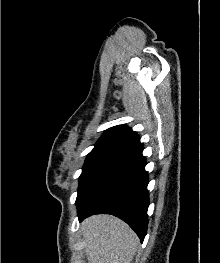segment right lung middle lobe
<instances>
[{
  "mask_svg": "<svg viewBox=\"0 0 220 263\" xmlns=\"http://www.w3.org/2000/svg\"><path fill=\"white\" fill-rule=\"evenodd\" d=\"M115 155L116 154L112 152H90L88 154L83 166L82 174L79 178L77 200L81 197L101 168Z\"/></svg>",
  "mask_w": 220,
  "mask_h": 263,
  "instance_id": "right-lung-middle-lobe-1",
  "label": "right lung middle lobe"
}]
</instances>
